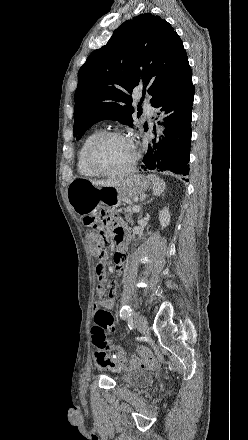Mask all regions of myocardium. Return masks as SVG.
Wrapping results in <instances>:
<instances>
[{
  "instance_id": "1",
  "label": "myocardium",
  "mask_w": 248,
  "mask_h": 440,
  "mask_svg": "<svg viewBox=\"0 0 248 440\" xmlns=\"http://www.w3.org/2000/svg\"><path fill=\"white\" fill-rule=\"evenodd\" d=\"M114 137H118V138H125L127 140H129V138L122 132L117 131V130H113V131H104L101 134H99L91 143V145L88 148L87 151V163L89 168L98 176H103V177H120V176H124L129 174L130 172H132L136 166L137 160H138V154L136 152V150L134 149L133 145V156L131 159V162L129 163V165L127 167H125L122 170L119 171H105L100 169L96 162H95V154L97 149L100 147V145L106 141L109 138H114ZM130 141V140H129ZM131 143V142H130Z\"/></svg>"
}]
</instances>
